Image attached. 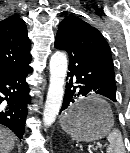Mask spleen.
Here are the masks:
<instances>
[{"label":"spleen","instance_id":"obj_1","mask_svg":"<svg viewBox=\"0 0 130 153\" xmlns=\"http://www.w3.org/2000/svg\"><path fill=\"white\" fill-rule=\"evenodd\" d=\"M110 146L107 148V153H126L121 132L118 129H113L107 136Z\"/></svg>","mask_w":130,"mask_h":153}]
</instances>
